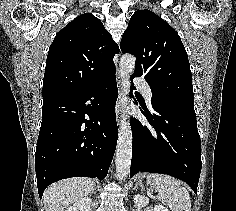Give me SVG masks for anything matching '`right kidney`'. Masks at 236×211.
<instances>
[{"label": "right kidney", "mask_w": 236, "mask_h": 211, "mask_svg": "<svg viewBox=\"0 0 236 211\" xmlns=\"http://www.w3.org/2000/svg\"><path fill=\"white\" fill-rule=\"evenodd\" d=\"M91 203L92 200L89 197H85L75 202L66 211H90Z\"/></svg>", "instance_id": "obj_1"}]
</instances>
